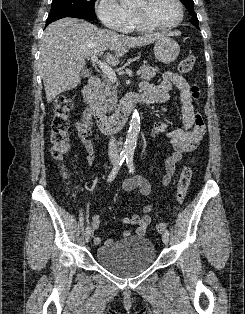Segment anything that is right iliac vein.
I'll use <instances>...</instances> for the list:
<instances>
[{"label":"right iliac vein","instance_id":"obj_1","mask_svg":"<svg viewBox=\"0 0 245 314\" xmlns=\"http://www.w3.org/2000/svg\"><path fill=\"white\" fill-rule=\"evenodd\" d=\"M90 237H91V232L86 233V234H85V241H86V242H89Z\"/></svg>","mask_w":245,"mask_h":314}]
</instances>
